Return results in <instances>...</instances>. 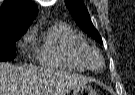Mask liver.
<instances>
[{
  "mask_svg": "<svg viewBox=\"0 0 135 95\" xmlns=\"http://www.w3.org/2000/svg\"><path fill=\"white\" fill-rule=\"evenodd\" d=\"M88 82V78L70 72L0 63V95H65Z\"/></svg>",
  "mask_w": 135,
  "mask_h": 95,
  "instance_id": "6515ba94",
  "label": "liver"
}]
</instances>
